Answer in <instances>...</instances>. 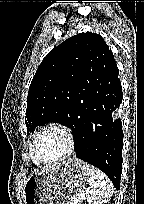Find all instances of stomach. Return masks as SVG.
I'll return each mask as SVG.
<instances>
[{
	"mask_svg": "<svg viewBox=\"0 0 144 204\" xmlns=\"http://www.w3.org/2000/svg\"><path fill=\"white\" fill-rule=\"evenodd\" d=\"M88 179V165L79 160L44 168L26 179L24 204H68L84 192Z\"/></svg>",
	"mask_w": 144,
	"mask_h": 204,
	"instance_id": "obj_1",
	"label": "stomach"
}]
</instances>
